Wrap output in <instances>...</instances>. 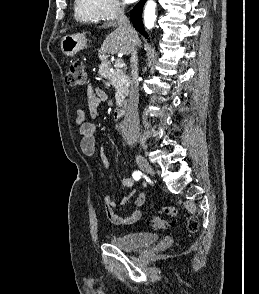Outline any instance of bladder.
Here are the masks:
<instances>
[{
    "instance_id": "1",
    "label": "bladder",
    "mask_w": 259,
    "mask_h": 294,
    "mask_svg": "<svg viewBox=\"0 0 259 294\" xmlns=\"http://www.w3.org/2000/svg\"><path fill=\"white\" fill-rule=\"evenodd\" d=\"M159 239V235L153 232H131L110 238V244L124 251L137 250L151 244Z\"/></svg>"
}]
</instances>
